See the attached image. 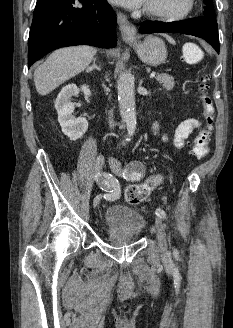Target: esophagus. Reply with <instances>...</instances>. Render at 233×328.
I'll list each match as a JSON object with an SVG mask.
<instances>
[{"instance_id": "esophagus-1", "label": "esophagus", "mask_w": 233, "mask_h": 328, "mask_svg": "<svg viewBox=\"0 0 233 328\" xmlns=\"http://www.w3.org/2000/svg\"><path fill=\"white\" fill-rule=\"evenodd\" d=\"M117 23L123 40L132 41L136 39L137 29L135 25L127 19L125 14L121 12L117 13Z\"/></svg>"}]
</instances>
